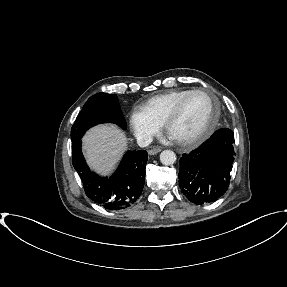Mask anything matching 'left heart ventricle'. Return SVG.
Here are the masks:
<instances>
[{"label": "left heart ventricle", "instance_id": "b2bd125f", "mask_svg": "<svg viewBox=\"0 0 287 287\" xmlns=\"http://www.w3.org/2000/svg\"><path fill=\"white\" fill-rule=\"evenodd\" d=\"M210 112L211 103L208 97L202 94L191 96L170 125L168 136L173 140H182L200 133L208 123Z\"/></svg>", "mask_w": 287, "mask_h": 287}]
</instances>
